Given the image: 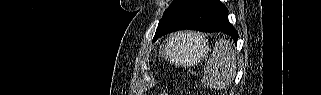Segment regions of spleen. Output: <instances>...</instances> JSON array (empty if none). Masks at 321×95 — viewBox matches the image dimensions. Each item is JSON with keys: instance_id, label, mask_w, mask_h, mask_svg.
Returning <instances> with one entry per match:
<instances>
[{"instance_id": "obj_1", "label": "spleen", "mask_w": 321, "mask_h": 95, "mask_svg": "<svg viewBox=\"0 0 321 95\" xmlns=\"http://www.w3.org/2000/svg\"><path fill=\"white\" fill-rule=\"evenodd\" d=\"M236 72V57L228 40H219L206 64L207 75L202 83L210 88L225 89L231 85Z\"/></svg>"}]
</instances>
